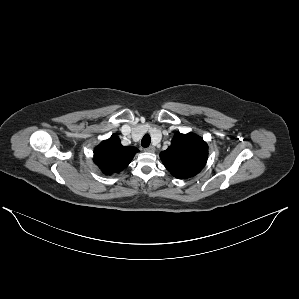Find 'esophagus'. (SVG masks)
<instances>
[{
	"label": "esophagus",
	"instance_id": "1",
	"mask_svg": "<svg viewBox=\"0 0 299 299\" xmlns=\"http://www.w3.org/2000/svg\"><path fill=\"white\" fill-rule=\"evenodd\" d=\"M145 151L152 153V152L155 151V147L154 146H149V147L145 148Z\"/></svg>",
	"mask_w": 299,
	"mask_h": 299
}]
</instances>
